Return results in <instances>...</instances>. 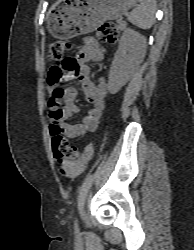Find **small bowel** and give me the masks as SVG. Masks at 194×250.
Masks as SVG:
<instances>
[{"instance_id": "c3829d8e", "label": "small bowel", "mask_w": 194, "mask_h": 250, "mask_svg": "<svg viewBox=\"0 0 194 250\" xmlns=\"http://www.w3.org/2000/svg\"><path fill=\"white\" fill-rule=\"evenodd\" d=\"M104 57V48L94 38L87 37L76 58H67L61 64L52 67V70L61 74L63 79H77L80 82L86 100L90 103L91 107L80 122H67L70 117L78 112V107L75 104L77 89L73 86L64 88L61 97V100L64 102L62 107L56 101H50L51 134L60 133L66 138L73 139L97 129L109 88L104 78H100L97 83L91 80L88 63L100 62ZM52 91L53 88L51 89ZM93 153L92 144H87L79 157L68 163L69 173L64 176L75 178L82 174L91 160Z\"/></svg>"}]
</instances>
